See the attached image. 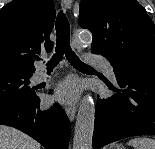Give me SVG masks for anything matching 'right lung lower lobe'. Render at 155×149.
<instances>
[{
    "label": "right lung lower lobe",
    "instance_id": "1",
    "mask_svg": "<svg viewBox=\"0 0 155 149\" xmlns=\"http://www.w3.org/2000/svg\"><path fill=\"white\" fill-rule=\"evenodd\" d=\"M40 98L0 100V124L12 126L37 140L46 149H67L70 121L58 104L40 110Z\"/></svg>",
    "mask_w": 155,
    "mask_h": 149
}]
</instances>
